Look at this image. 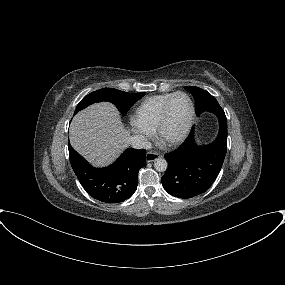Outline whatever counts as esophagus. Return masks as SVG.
Listing matches in <instances>:
<instances>
[{"instance_id":"1","label":"esophagus","mask_w":285,"mask_h":285,"mask_svg":"<svg viewBox=\"0 0 285 285\" xmlns=\"http://www.w3.org/2000/svg\"><path fill=\"white\" fill-rule=\"evenodd\" d=\"M158 157H159V154L157 152L150 151V152L146 153V158L145 159H146L147 162H153Z\"/></svg>"}]
</instances>
